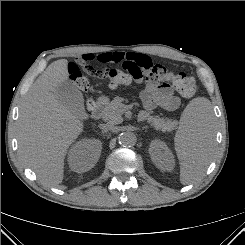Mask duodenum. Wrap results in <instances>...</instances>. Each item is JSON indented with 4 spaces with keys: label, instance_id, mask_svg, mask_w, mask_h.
<instances>
[{
    "label": "duodenum",
    "instance_id": "410a0bca",
    "mask_svg": "<svg viewBox=\"0 0 245 245\" xmlns=\"http://www.w3.org/2000/svg\"><path fill=\"white\" fill-rule=\"evenodd\" d=\"M105 107H106V100L103 98L98 99L92 107L91 110L92 117L94 119H99L102 116Z\"/></svg>",
    "mask_w": 245,
    "mask_h": 245
}]
</instances>
